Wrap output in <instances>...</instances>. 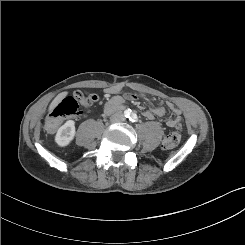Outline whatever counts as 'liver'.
Here are the masks:
<instances>
[{"instance_id": "6515ba94", "label": "liver", "mask_w": 245, "mask_h": 245, "mask_svg": "<svg viewBox=\"0 0 245 245\" xmlns=\"http://www.w3.org/2000/svg\"><path fill=\"white\" fill-rule=\"evenodd\" d=\"M68 92H61L59 93L51 102L50 106H49V112H51L66 96H67Z\"/></svg>"}]
</instances>
